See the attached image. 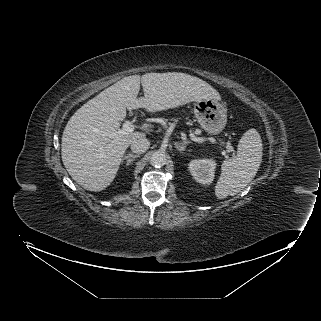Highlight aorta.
Listing matches in <instances>:
<instances>
[{
    "label": "aorta",
    "mask_w": 321,
    "mask_h": 321,
    "mask_svg": "<svg viewBox=\"0 0 321 321\" xmlns=\"http://www.w3.org/2000/svg\"><path fill=\"white\" fill-rule=\"evenodd\" d=\"M166 155L161 151H156L152 154L150 158V163L152 166L160 168L166 164Z\"/></svg>",
    "instance_id": "762f6f07"
}]
</instances>
